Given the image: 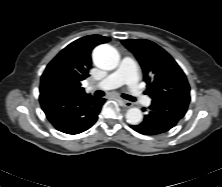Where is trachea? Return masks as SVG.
Listing matches in <instances>:
<instances>
[{"label": "trachea", "mask_w": 222, "mask_h": 187, "mask_svg": "<svg viewBox=\"0 0 222 187\" xmlns=\"http://www.w3.org/2000/svg\"><path fill=\"white\" fill-rule=\"evenodd\" d=\"M104 92L103 91H97L96 93H95V95L96 96H104ZM123 98H125V99H127V100H130V101H136V99L134 98V97H132V96H130V95H127V94H122L121 95Z\"/></svg>", "instance_id": "3493384b"}]
</instances>
